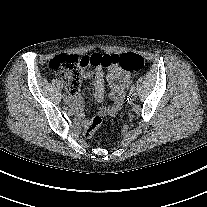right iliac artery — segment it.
Wrapping results in <instances>:
<instances>
[{
	"instance_id": "1",
	"label": "right iliac artery",
	"mask_w": 207,
	"mask_h": 207,
	"mask_svg": "<svg viewBox=\"0 0 207 207\" xmlns=\"http://www.w3.org/2000/svg\"><path fill=\"white\" fill-rule=\"evenodd\" d=\"M67 96L65 94H63V98H66Z\"/></svg>"
}]
</instances>
